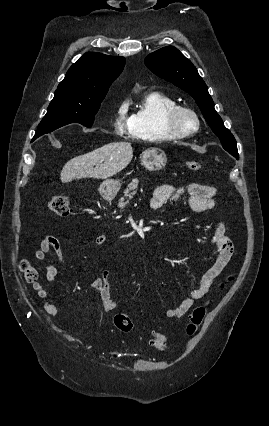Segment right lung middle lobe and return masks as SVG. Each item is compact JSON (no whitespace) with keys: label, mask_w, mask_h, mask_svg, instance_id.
<instances>
[{"label":"right lung middle lobe","mask_w":269,"mask_h":426,"mask_svg":"<svg viewBox=\"0 0 269 426\" xmlns=\"http://www.w3.org/2000/svg\"><path fill=\"white\" fill-rule=\"evenodd\" d=\"M104 97L98 96L87 99L54 95L46 115L38 126L33 141L46 133L70 123H79L90 128Z\"/></svg>","instance_id":"obj_1"}]
</instances>
